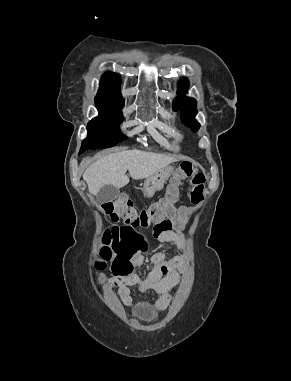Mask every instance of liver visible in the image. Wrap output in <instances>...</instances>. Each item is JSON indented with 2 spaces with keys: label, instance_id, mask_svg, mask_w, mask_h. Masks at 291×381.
<instances>
[{
  "label": "liver",
  "instance_id": "6515ba94",
  "mask_svg": "<svg viewBox=\"0 0 291 381\" xmlns=\"http://www.w3.org/2000/svg\"><path fill=\"white\" fill-rule=\"evenodd\" d=\"M174 161L176 159L171 156L153 152L121 151L98 159L86 169L83 179L88 185L89 192L97 195L105 185H113L117 188L127 185L129 183V177L126 176L127 170L133 179H144Z\"/></svg>",
  "mask_w": 291,
  "mask_h": 381
}]
</instances>
